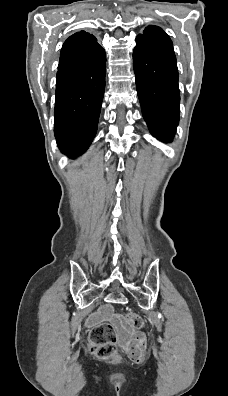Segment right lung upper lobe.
I'll return each mask as SVG.
<instances>
[{
  "instance_id": "obj_1",
  "label": "right lung upper lobe",
  "mask_w": 228,
  "mask_h": 396,
  "mask_svg": "<svg viewBox=\"0 0 228 396\" xmlns=\"http://www.w3.org/2000/svg\"><path fill=\"white\" fill-rule=\"evenodd\" d=\"M73 40L77 50H89L95 47L96 38L85 31H80L70 36L65 42Z\"/></svg>"
}]
</instances>
